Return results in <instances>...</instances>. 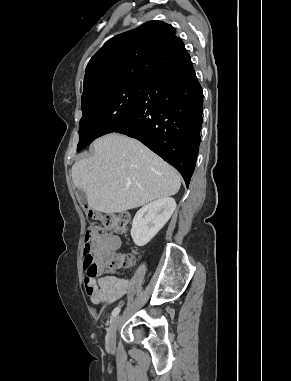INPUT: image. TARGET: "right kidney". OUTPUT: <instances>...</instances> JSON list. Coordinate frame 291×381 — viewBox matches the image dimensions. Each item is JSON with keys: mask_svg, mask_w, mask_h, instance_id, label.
I'll use <instances>...</instances> for the list:
<instances>
[{"mask_svg": "<svg viewBox=\"0 0 291 381\" xmlns=\"http://www.w3.org/2000/svg\"><path fill=\"white\" fill-rule=\"evenodd\" d=\"M176 209L173 198L164 197L143 206L132 222L131 237L137 246L146 245L167 223Z\"/></svg>", "mask_w": 291, "mask_h": 381, "instance_id": "right-kidney-1", "label": "right kidney"}]
</instances>
